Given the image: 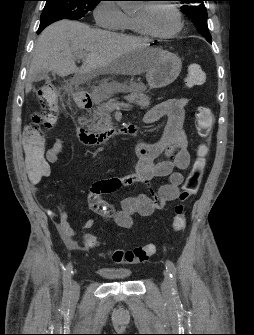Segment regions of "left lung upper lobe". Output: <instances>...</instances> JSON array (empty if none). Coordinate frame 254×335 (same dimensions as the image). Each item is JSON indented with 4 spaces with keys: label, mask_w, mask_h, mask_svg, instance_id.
<instances>
[{
    "label": "left lung upper lobe",
    "mask_w": 254,
    "mask_h": 335,
    "mask_svg": "<svg viewBox=\"0 0 254 335\" xmlns=\"http://www.w3.org/2000/svg\"><path fill=\"white\" fill-rule=\"evenodd\" d=\"M182 4V12L188 16L197 30L207 41H211V35L207 26V11L204 6V0H178Z\"/></svg>",
    "instance_id": "obj_1"
}]
</instances>
